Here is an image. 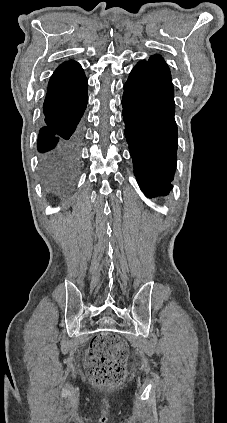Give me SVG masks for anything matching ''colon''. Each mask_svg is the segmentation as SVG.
Segmentation results:
<instances>
[{
    "label": "colon",
    "instance_id": "obj_1",
    "mask_svg": "<svg viewBox=\"0 0 227 423\" xmlns=\"http://www.w3.org/2000/svg\"><path fill=\"white\" fill-rule=\"evenodd\" d=\"M127 345L117 335L104 332L95 336L87 352V373L98 386H114L123 382Z\"/></svg>",
    "mask_w": 227,
    "mask_h": 423
}]
</instances>
